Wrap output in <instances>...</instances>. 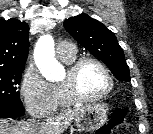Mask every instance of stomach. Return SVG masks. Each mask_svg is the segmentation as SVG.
I'll return each instance as SVG.
<instances>
[{
	"mask_svg": "<svg viewBox=\"0 0 153 134\" xmlns=\"http://www.w3.org/2000/svg\"><path fill=\"white\" fill-rule=\"evenodd\" d=\"M108 109L104 104H92L82 108L75 118V125L79 132H93L107 121Z\"/></svg>",
	"mask_w": 153,
	"mask_h": 134,
	"instance_id": "0dacf381",
	"label": "stomach"
}]
</instances>
